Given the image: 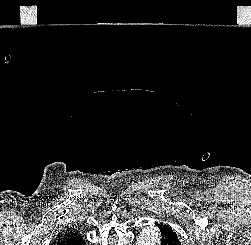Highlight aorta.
Wrapping results in <instances>:
<instances>
[{
  "label": "aorta",
  "mask_w": 251,
  "mask_h": 245,
  "mask_svg": "<svg viewBox=\"0 0 251 245\" xmlns=\"http://www.w3.org/2000/svg\"><path fill=\"white\" fill-rule=\"evenodd\" d=\"M159 233L158 229L154 224L145 226L140 232L136 245H158Z\"/></svg>",
  "instance_id": "obj_1"
}]
</instances>
